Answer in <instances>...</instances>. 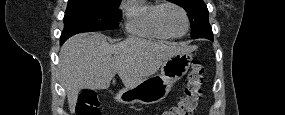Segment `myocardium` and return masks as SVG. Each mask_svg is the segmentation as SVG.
Masks as SVG:
<instances>
[{
    "instance_id": "myocardium-1",
    "label": "myocardium",
    "mask_w": 285,
    "mask_h": 115,
    "mask_svg": "<svg viewBox=\"0 0 285 115\" xmlns=\"http://www.w3.org/2000/svg\"><path fill=\"white\" fill-rule=\"evenodd\" d=\"M171 7L177 8L183 14V17L185 20V30L181 34H173L172 32H170V30L168 29V27L166 26L164 22V11L167 8H171ZM158 22L160 26L162 27V29L172 38H178V37L184 36L188 32L189 27H190V21H189V16H188L187 11L182 6L174 4V3H164L160 6L159 11H158Z\"/></svg>"
}]
</instances>
